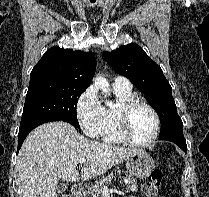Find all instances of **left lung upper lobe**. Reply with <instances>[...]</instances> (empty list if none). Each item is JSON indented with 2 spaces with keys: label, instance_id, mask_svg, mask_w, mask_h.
<instances>
[{
  "label": "left lung upper lobe",
  "instance_id": "5c2ea615",
  "mask_svg": "<svg viewBox=\"0 0 209 197\" xmlns=\"http://www.w3.org/2000/svg\"><path fill=\"white\" fill-rule=\"evenodd\" d=\"M107 63L119 74L129 78L146 96L148 103L160 117V136L183 132V123L177 114L172 88L162 69L135 43L103 53Z\"/></svg>",
  "mask_w": 209,
  "mask_h": 197
}]
</instances>
